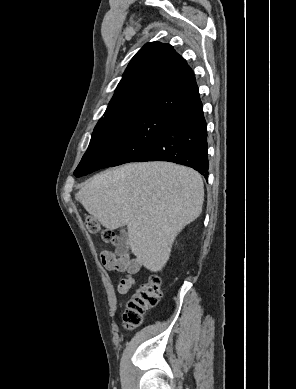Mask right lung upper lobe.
<instances>
[{
    "label": "right lung upper lobe",
    "instance_id": "obj_1",
    "mask_svg": "<svg viewBox=\"0 0 296 389\" xmlns=\"http://www.w3.org/2000/svg\"><path fill=\"white\" fill-rule=\"evenodd\" d=\"M202 106L195 76L169 44L144 45L126 68L104 118L156 113L176 119Z\"/></svg>",
    "mask_w": 296,
    "mask_h": 389
}]
</instances>
